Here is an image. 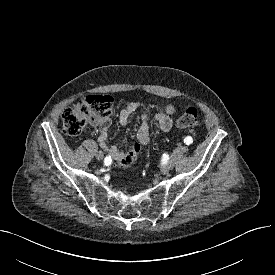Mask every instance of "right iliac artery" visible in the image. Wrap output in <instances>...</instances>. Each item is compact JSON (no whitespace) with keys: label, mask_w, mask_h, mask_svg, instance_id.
<instances>
[{"label":"right iliac artery","mask_w":275,"mask_h":275,"mask_svg":"<svg viewBox=\"0 0 275 275\" xmlns=\"http://www.w3.org/2000/svg\"><path fill=\"white\" fill-rule=\"evenodd\" d=\"M112 163V159L110 156H106L105 160H104V164L105 165H110Z\"/></svg>","instance_id":"right-iliac-artery-1"}]
</instances>
